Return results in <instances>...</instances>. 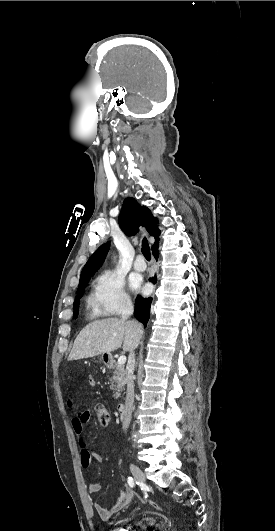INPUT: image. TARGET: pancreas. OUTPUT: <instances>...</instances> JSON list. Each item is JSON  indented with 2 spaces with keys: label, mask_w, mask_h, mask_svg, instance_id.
Returning <instances> with one entry per match:
<instances>
[{
  "label": "pancreas",
  "mask_w": 275,
  "mask_h": 531,
  "mask_svg": "<svg viewBox=\"0 0 275 531\" xmlns=\"http://www.w3.org/2000/svg\"><path fill=\"white\" fill-rule=\"evenodd\" d=\"M108 369H113V375L109 381H111V389L114 391V399H119L121 389H124L127 383V373L124 369V365H107Z\"/></svg>",
  "instance_id": "obj_1"
}]
</instances>
